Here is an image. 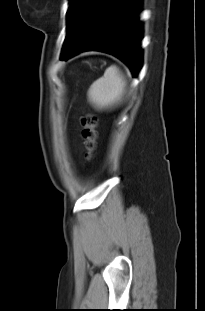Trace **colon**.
I'll use <instances>...</instances> for the list:
<instances>
[{"mask_svg":"<svg viewBox=\"0 0 205 311\" xmlns=\"http://www.w3.org/2000/svg\"><path fill=\"white\" fill-rule=\"evenodd\" d=\"M98 118L93 114H87L82 118V138L86 150V158L90 160L97 146Z\"/></svg>","mask_w":205,"mask_h":311,"instance_id":"obj_1","label":"colon"}]
</instances>
